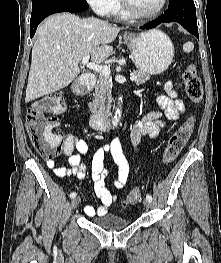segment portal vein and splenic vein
<instances>
[{"mask_svg":"<svg viewBox=\"0 0 221 263\" xmlns=\"http://www.w3.org/2000/svg\"><path fill=\"white\" fill-rule=\"evenodd\" d=\"M89 59H90V55H85L82 59V64L87 68L102 74L105 77H109L110 68L108 66L99 65L98 63L90 62ZM135 79L136 76L134 74H131L130 80L134 81Z\"/></svg>","mask_w":221,"mask_h":263,"instance_id":"18ae733b","label":"portal vein and splenic vein"}]
</instances>
